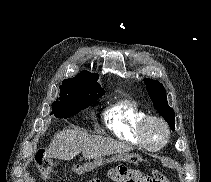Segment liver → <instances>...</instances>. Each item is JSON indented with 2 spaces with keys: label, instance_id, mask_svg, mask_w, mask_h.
Listing matches in <instances>:
<instances>
[{
  "label": "liver",
  "instance_id": "6515ba94",
  "mask_svg": "<svg viewBox=\"0 0 211 182\" xmlns=\"http://www.w3.org/2000/svg\"><path fill=\"white\" fill-rule=\"evenodd\" d=\"M131 150L132 146L125 143L73 129H63L56 133L46 149L49 156L62 160H72L80 152L84 159L97 160L106 155L124 154Z\"/></svg>",
  "mask_w": 211,
  "mask_h": 182
}]
</instances>
